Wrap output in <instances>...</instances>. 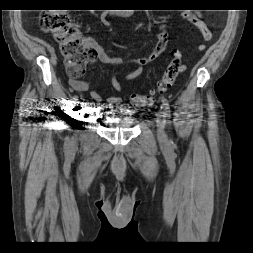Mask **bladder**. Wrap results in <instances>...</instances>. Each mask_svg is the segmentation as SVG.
Here are the masks:
<instances>
[{"label": "bladder", "instance_id": "31cf9c89", "mask_svg": "<svg viewBox=\"0 0 253 253\" xmlns=\"http://www.w3.org/2000/svg\"><path fill=\"white\" fill-rule=\"evenodd\" d=\"M103 122L110 128L129 129L135 126L136 119L127 109L102 111Z\"/></svg>", "mask_w": 253, "mask_h": 253}]
</instances>
